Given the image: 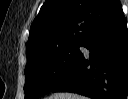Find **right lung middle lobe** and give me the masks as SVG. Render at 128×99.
<instances>
[{"label": "right lung middle lobe", "instance_id": "1", "mask_svg": "<svg viewBox=\"0 0 128 99\" xmlns=\"http://www.w3.org/2000/svg\"><path fill=\"white\" fill-rule=\"evenodd\" d=\"M82 42L64 45L27 58L25 99H35L53 90L78 64Z\"/></svg>", "mask_w": 128, "mask_h": 99}]
</instances>
